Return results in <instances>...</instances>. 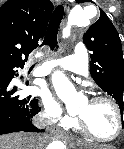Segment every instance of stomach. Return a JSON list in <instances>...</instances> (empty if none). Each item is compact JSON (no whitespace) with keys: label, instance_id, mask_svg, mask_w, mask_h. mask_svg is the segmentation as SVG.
Listing matches in <instances>:
<instances>
[{"label":"stomach","instance_id":"1","mask_svg":"<svg viewBox=\"0 0 124 149\" xmlns=\"http://www.w3.org/2000/svg\"><path fill=\"white\" fill-rule=\"evenodd\" d=\"M94 149H97V148H94ZM98 149H107V148H105V147H100V148H98Z\"/></svg>","mask_w":124,"mask_h":149}]
</instances>
